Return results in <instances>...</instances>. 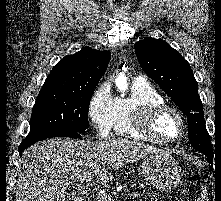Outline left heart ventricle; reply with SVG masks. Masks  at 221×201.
<instances>
[{"mask_svg": "<svg viewBox=\"0 0 221 201\" xmlns=\"http://www.w3.org/2000/svg\"><path fill=\"white\" fill-rule=\"evenodd\" d=\"M156 131L165 138L177 137L180 126L176 118L171 114L163 115L155 125Z\"/></svg>", "mask_w": 221, "mask_h": 201, "instance_id": "1", "label": "left heart ventricle"}]
</instances>
